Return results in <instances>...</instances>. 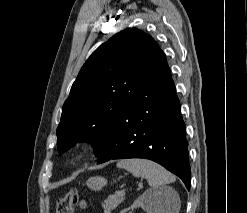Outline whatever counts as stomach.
<instances>
[{
	"label": "stomach",
	"instance_id": "1",
	"mask_svg": "<svg viewBox=\"0 0 247 213\" xmlns=\"http://www.w3.org/2000/svg\"><path fill=\"white\" fill-rule=\"evenodd\" d=\"M86 184L91 190L99 191L107 184V180L101 176H95L89 178Z\"/></svg>",
	"mask_w": 247,
	"mask_h": 213
}]
</instances>
